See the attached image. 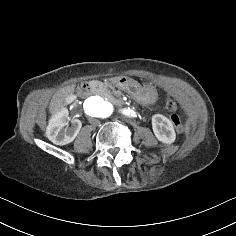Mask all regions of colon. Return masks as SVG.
<instances>
[{"label": "colon", "mask_w": 236, "mask_h": 236, "mask_svg": "<svg viewBox=\"0 0 236 236\" xmlns=\"http://www.w3.org/2000/svg\"><path fill=\"white\" fill-rule=\"evenodd\" d=\"M166 108L172 113L171 114V120L176 128L177 131H182L183 130V125L181 123V120L179 116L175 113L177 109V104L175 100L171 97L167 98L166 100Z\"/></svg>", "instance_id": "5ec220e1"}]
</instances>
